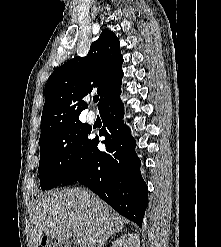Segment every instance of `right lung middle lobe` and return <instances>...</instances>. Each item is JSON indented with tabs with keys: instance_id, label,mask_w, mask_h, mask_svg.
<instances>
[{
	"instance_id": "1",
	"label": "right lung middle lobe",
	"mask_w": 221,
	"mask_h": 247,
	"mask_svg": "<svg viewBox=\"0 0 221 247\" xmlns=\"http://www.w3.org/2000/svg\"><path fill=\"white\" fill-rule=\"evenodd\" d=\"M90 129L80 121L40 137L39 178L42 190L60 185L86 153Z\"/></svg>"
}]
</instances>
